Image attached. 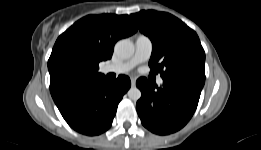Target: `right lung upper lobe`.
Here are the masks:
<instances>
[{
    "instance_id": "obj_1",
    "label": "right lung upper lobe",
    "mask_w": 261,
    "mask_h": 150,
    "mask_svg": "<svg viewBox=\"0 0 261 150\" xmlns=\"http://www.w3.org/2000/svg\"><path fill=\"white\" fill-rule=\"evenodd\" d=\"M128 15H88L61 34L48 60L53 100L106 78L99 62L110 59L115 43L134 34Z\"/></svg>"
}]
</instances>
